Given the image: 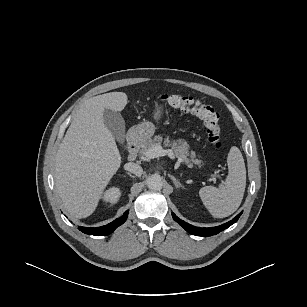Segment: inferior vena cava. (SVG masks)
Instances as JSON below:
<instances>
[{
	"instance_id": "inferior-vena-cava-1",
	"label": "inferior vena cava",
	"mask_w": 307,
	"mask_h": 307,
	"mask_svg": "<svg viewBox=\"0 0 307 307\" xmlns=\"http://www.w3.org/2000/svg\"><path fill=\"white\" fill-rule=\"evenodd\" d=\"M124 169L135 174L136 176L140 177L143 173V169L141 166H139L138 164L136 163H126L124 165Z\"/></svg>"
}]
</instances>
